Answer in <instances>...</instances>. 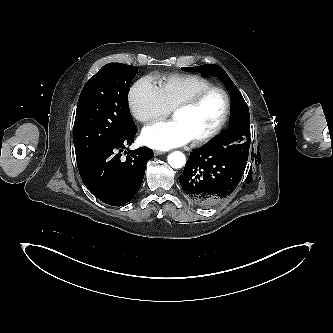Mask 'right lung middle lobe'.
Wrapping results in <instances>:
<instances>
[{"instance_id": "dd1d6c3e", "label": "right lung middle lobe", "mask_w": 333, "mask_h": 333, "mask_svg": "<svg viewBox=\"0 0 333 333\" xmlns=\"http://www.w3.org/2000/svg\"><path fill=\"white\" fill-rule=\"evenodd\" d=\"M137 72L136 66L108 63L85 84L74 122L76 159L123 138L136 127L128 106V93Z\"/></svg>"}]
</instances>
